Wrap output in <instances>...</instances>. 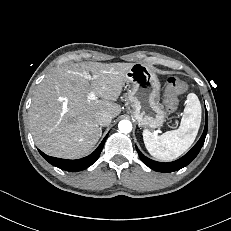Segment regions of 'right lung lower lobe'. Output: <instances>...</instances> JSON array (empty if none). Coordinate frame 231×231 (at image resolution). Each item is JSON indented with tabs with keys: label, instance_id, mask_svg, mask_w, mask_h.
<instances>
[{
	"label": "right lung lower lobe",
	"instance_id": "98d812e1",
	"mask_svg": "<svg viewBox=\"0 0 231 231\" xmlns=\"http://www.w3.org/2000/svg\"><path fill=\"white\" fill-rule=\"evenodd\" d=\"M106 138L107 135L105 136V138L102 140L98 148L93 153L81 159H76V160L61 159V158L48 156L43 152H41L40 150L39 152L53 166H56L66 171L77 172L88 168L89 166H91L93 163L96 162L103 149Z\"/></svg>",
	"mask_w": 231,
	"mask_h": 231
}]
</instances>
